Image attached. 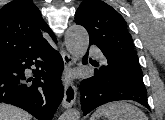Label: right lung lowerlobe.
Here are the masks:
<instances>
[{"label":"right lung lower lobe","instance_id":"1","mask_svg":"<svg viewBox=\"0 0 165 120\" xmlns=\"http://www.w3.org/2000/svg\"><path fill=\"white\" fill-rule=\"evenodd\" d=\"M32 65L37 68L34 77L27 78L24 71ZM63 67L61 55L49 42L0 60V102L18 106L38 120H51L63 99Z\"/></svg>","mask_w":165,"mask_h":120}]
</instances>
